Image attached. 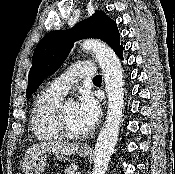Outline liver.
<instances>
[{"label":"liver","instance_id":"obj_1","mask_svg":"<svg viewBox=\"0 0 175 174\" xmlns=\"http://www.w3.org/2000/svg\"><path fill=\"white\" fill-rule=\"evenodd\" d=\"M78 150L75 143H38L26 150V157L37 153H53L55 155H72Z\"/></svg>","mask_w":175,"mask_h":174}]
</instances>
